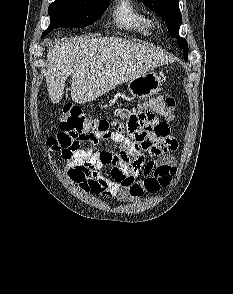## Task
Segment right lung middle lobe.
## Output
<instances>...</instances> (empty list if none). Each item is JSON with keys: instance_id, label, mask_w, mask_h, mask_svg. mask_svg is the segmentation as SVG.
I'll use <instances>...</instances> for the list:
<instances>
[{"instance_id": "right-lung-middle-lobe-1", "label": "right lung middle lobe", "mask_w": 233, "mask_h": 294, "mask_svg": "<svg viewBox=\"0 0 233 294\" xmlns=\"http://www.w3.org/2000/svg\"><path fill=\"white\" fill-rule=\"evenodd\" d=\"M109 3L110 0H56L48 8L51 22L41 38L56 28H80L94 23Z\"/></svg>"}]
</instances>
